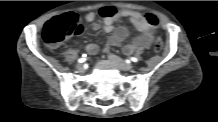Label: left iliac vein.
I'll use <instances>...</instances> for the list:
<instances>
[{
	"label": "left iliac vein",
	"mask_w": 218,
	"mask_h": 122,
	"mask_svg": "<svg viewBox=\"0 0 218 122\" xmlns=\"http://www.w3.org/2000/svg\"><path fill=\"white\" fill-rule=\"evenodd\" d=\"M108 58L117 65L118 68H120L121 70H131L133 68V66L127 62H125L123 59H121L120 57L114 55V54H109Z\"/></svg>",
	"instance_id": "left-iliac-vein-1"
}]
</instances>
